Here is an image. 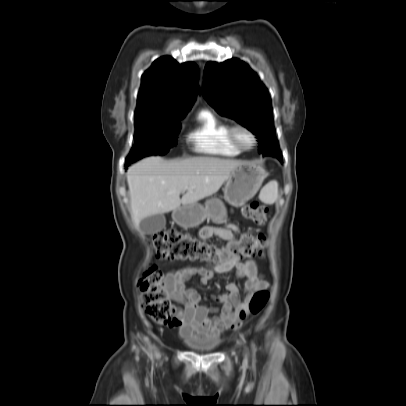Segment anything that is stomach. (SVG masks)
Listing matches in <instances>:
<instances>
[{"instance_id":"obj_1","label":"stomach","mask_w":406,"mask_h":406,"mask_svg":"<svg viewBox=\"0 0 406 406\" xmlns=\"http://www.w3.org/2000/svg\"><path fill=\"white\" fill-rule=\"evenodd\" d=\"M267 176L265 169L256 163H245L237 167L227 178L224 188L225 200L233 206H241L253 198ZM172 217L182 227H195L206 218L222 223L226 218V208L217 198H211L205 205L198 203L180 207Z\"/></svg>"}]
</instances>
